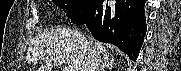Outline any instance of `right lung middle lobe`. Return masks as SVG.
Returning <instances> with one entry per match:
<instances>
[{
    "label": "right lung middle lobe",
    "instance_id": "obj_1",
    "mask_svg": "<svg viewBox=\"0 0 181 71\" xmlns=\"http://www.w3.org/2000/svg\"><path fill=\"white\" fill-rule=\"evenodd\" d=\"M53 2L60 6L69 18H73L84 15L96 5L97 0H53Z\"/></svg>",
    "mask_w": 181,
    "mask_h": 71
}]
</instances>
